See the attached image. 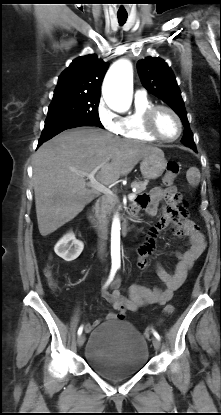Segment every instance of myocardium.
Masks as SVG:
<instances>
[{
    "label": "myocardium",
    "instance_id": "myocardium-1",
    "mask_svg": "<svg viewBox=\"0 0 221 415\" xmlns=\"http://www.w3.org/2000/svg\"><path fill=\"white\" fill-rule=\"evenodd\" d=\"M161 110H165L171 113L178 123V133L173 138L164 137L163 135L159 133V131L156 128V116L158 112ZM143 126H144L145 131L149 135L154 137L156 140H159L162 142H174L181 136L183 132V123H182V120L179 114L172 107L167 106V105H161V104L152 105L145 111L144 116H143Z\"/></svg>",
    "mask_w": 221,
    "mask_h": 415
}]
</instances>
